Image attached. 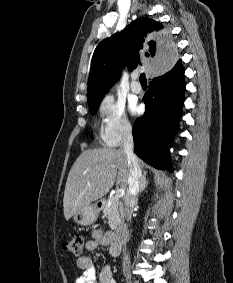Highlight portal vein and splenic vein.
<instances>
[{
  "instance_id": "1",
  "label": "portal vein and splenic vein",
  "mask_w": 233,
  "mask_h": 283,
  "mask_svg": "<svg viewBox=\"0 0 233 283\" xmlns=\"http://www.w3.org/2000/svg\"><path fill=\"white\" fill-rule=\"evenodd\" d=\"M124 194H125V190H124L123 188H118V189L116 190L115 196H116L117 198H121Z\"/></svg>"
}]
</instances>
